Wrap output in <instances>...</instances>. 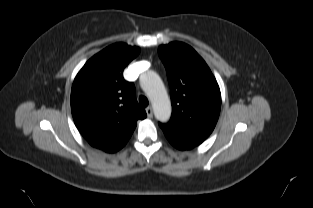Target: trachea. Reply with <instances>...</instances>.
<instances>
[{"instance_id":"obj_1","label":"trachea","mask_w":313,"mask_h":208,"mask_svg":"<svg viewBox=\"0 0 313 208\" xmlns=\"http://www.w3.org/2000/svg\"><path fill=\"white\" fill-rule=\"evenodd\" d=\"M139 103L142 107H147L149 104L148 99L145 96L139 97Z\"/></svg>"}]
</instances>
